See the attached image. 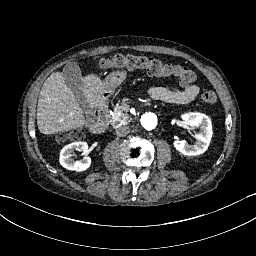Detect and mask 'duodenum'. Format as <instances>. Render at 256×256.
I'll list each match as a JSON object with an SVG mask.
<instances>
[{"mask_svg":"<svg viewBox=\"0 0 256 256\" xmlns=\"http://www.w3.org/2000/svg\"><path fill=\"white\" fill-rule=\"evenodd\" d=\"M128 75L124 71L114 72L112 74L106 75L103 78V85L101 87V92H99L97 99L99 101L98 106L100 108L98 112L97 121L93 124L92 130L95 134H104L108 128L110 117L108 113V106L112 99V94H114L117 87H119L122 82L126 81ZM141 102L145 106L152 104L153 99L149 95L142 97Z\"/></svg>","mask_w":256,"mask_h":256,"instance_id":"duodenum-1","label":"duodenum"}]
</instances>
